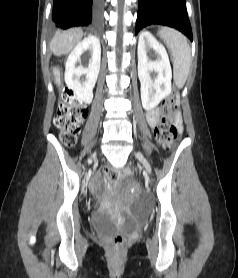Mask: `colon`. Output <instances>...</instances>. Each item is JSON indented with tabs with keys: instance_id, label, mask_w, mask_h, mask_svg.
<instances>
[{
	"instance_id": "5ec220e1",
	"label": "colon",
	"mask_w": 238,
	"mask_h": 278,
	"mask_svg": "<svg viewBox=\"0 0 238 278\" xmlns=\"http://www.w3.org/2000/svg\"><path fill=\"white\" fill-rule=\"evenodd\" d=\"M175 95L166 97L160 107L161 120L155 128L157 141L165 148H170L177 140V112ZM87 107L77 98L71 90H65L59 104L54 124L59 130L60 139L65 146L75 144L81 125L87 117ZM130 169L117 170L106 168L104 173L110 183H117L120 179L130 174ZM110 246L118 250L124 244L121 234H113L108 238Z\"/></svg>"
}]
</instances>
